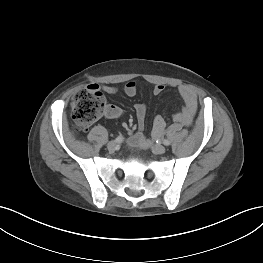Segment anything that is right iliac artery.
I'll return each mask as SVG.
<instances>
[{"label": "right iliac artery", "mask_w": 263, "mask_h": 263, "mask_svg": "<svg viewBox=\"0 0 263 263\" xmlns=\"http://www.w3.org/2000/svg\"><path fill=\"white\" fill-rule=\"evenodd\" d=\"M124 140V137L122 135L118 136L114 141L116 143H121Z\"/></svg>", "instance_id": "right-iliac-artery-1"}]
</instances>
